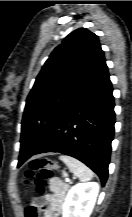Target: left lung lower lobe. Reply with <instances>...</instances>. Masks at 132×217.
Here are the masks:
<instances>
[{
    "instance_id": "1",
    "label": "left lung lower lobe",
    "mask_w": 132,
    "mask_h": 217,
    "mask_svg": "<svg viewBox=\"0 0 132 217\" xmlns=\"http://www.w3.org/2000/svg\"><path fill=\"white\" fill-rule=\"evenodd\" d=\"M112 91L104 63L33 152H28L20 140L18 167L35 154L59 152L82 161L100 177L104 185L114 135Z\"/></svg>"
}]
</instances>
